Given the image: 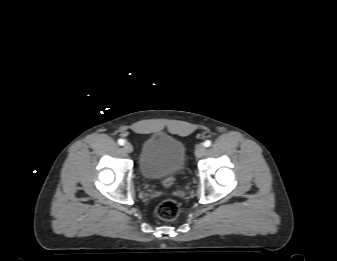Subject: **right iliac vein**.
Returning a JSON list of instances; mask_svg holds the SVG:
<instances>
[{
	"label": "right iliac vein",
	"instance_id": "obj_1",
	"mask_svg": "<svg viewBox=\"0 0 337 261\" xmlns=\"http://www.w3.org/2000/svg\"><path fill=\"white\" fill-rule=\"evenodd\" d=\"M123 149L127 153H131L133 151V146L130 143H125Z\"/></svg>",
	"mask_w": 337,
	"mask_h": 261
}]
</instances>
